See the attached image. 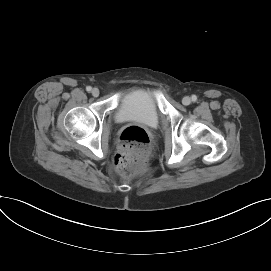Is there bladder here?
<instances>
[{"instance_id": "1", "label": "bladder", "mask_w": 271, "mask_h": 271, "mask_svg": "<svg viewBox=\"0 0 271 271\" xmlns=\"http://www.w3.org/2000/svg\"><path fill=\"white\" fill-rule=\"evenodd\" d=\"M160 116L154 95L145 90H134L124 94L115 112L118 122H139L149 127L158 126Z\"/></svg>"}]
</instances>
